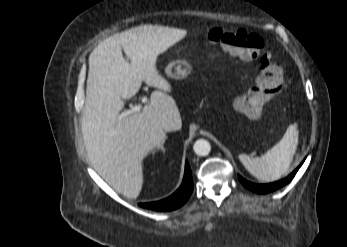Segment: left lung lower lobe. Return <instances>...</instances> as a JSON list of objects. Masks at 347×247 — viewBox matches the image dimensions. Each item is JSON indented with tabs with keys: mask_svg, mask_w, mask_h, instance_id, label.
Wrapping results in <instances>:
<instances>
[{
	"mask_svg": "<svg viewBox=\"0 0 347 247\" xmlns=\"http://www.w3.org/2000/svg\"><path fill=\"white\" fill-rule=\"evenodd\" d=\"M304 162V161H303ZM303 162L300 164V166L294 170L288 177H286L283 180L274 182V183H269V184H255V183H251L248 182L247 180L243 179L240 175H239V180L241 181V183L247 187L248 189L256 192V193H260V194H265V193H269L272 191H275L281 187H283L284 185H286L287 183H289L292 178L295 176V174L297 173L298 169L301 167V165L303 164Z\"/></svg>",
	"mask_w": 347,
	"mask_h": 247,
	"instance_id": "1",
	"label": "left lung lower lobe"
}]
</instances>
